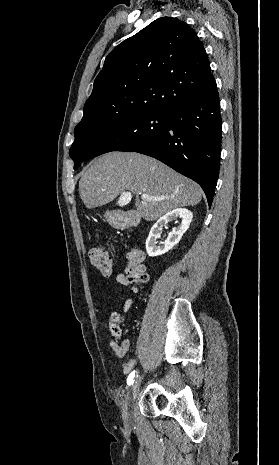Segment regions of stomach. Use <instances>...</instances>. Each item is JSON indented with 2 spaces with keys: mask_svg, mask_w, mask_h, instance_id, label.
I'll return each mask as SVG.
<instances>
[{
  "mask_svg": "<svg viewBox=\"0 0 279 465\" xmlns=\"http://www.w3.org/2000/svg\"><path fill=\"white\" fill-rule=\"evenodd\" d=\"M106 218L109 223L116 228L126 227L129 223L125 216L120 212H106Z\"/></svg>",
  "mask_w": 279,
  "mask_h": 465,
  "instance_id": "1",
  "label": "stomach"
}]
</instances>
